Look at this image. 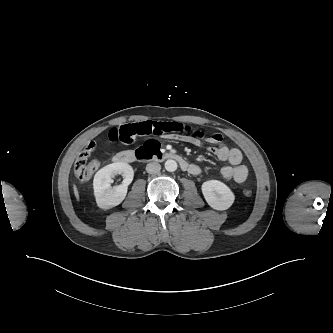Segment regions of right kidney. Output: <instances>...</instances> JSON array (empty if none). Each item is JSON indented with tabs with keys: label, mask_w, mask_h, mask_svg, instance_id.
<instances>
[{
	"label": "right kidney",
	"mask_w": 333,
	"mask_h": 333,
	"mask_svg": "<svg viewBox=\"0 0 333 333\" xmlns=\"http://www.w3.org/2000/svg\"><path fill=\"white\" fill-rule=\"evenodd\" d=\"M122 174L124 180L121 185L111 187L112 177ZM134 176L133 168L123 162L106 165L94 176L93 188L96 203L101 209H110L119 205L126 197L128 185Z\"/></svg>",
	"instance_id": "obj_1"
}]
</instances>
